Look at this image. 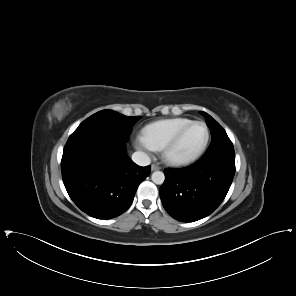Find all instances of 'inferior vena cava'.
<instances>
[{
  "label": "inferior vena cava",
  "instance_id": "602c4592",
  "mask_svg": "<svg viewBox=\"0 0 296 296\" xmlns=\"http://www.w3.org/2000/svg\"><path fill=\"white\" fill-rule=\"evenodd\" d=\"M132 160L139 166H147L151 163L150 157L142 151L134 152L132 154Z\"/></svg>",
  "mask_w": 296,
  "mask_h": 296
}]
</instances>
